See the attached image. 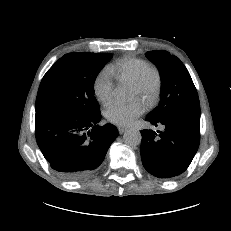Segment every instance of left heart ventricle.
I'll use <instances>...</instances> for the list:
<instances>
[{
	"label": "left heart ventricle",
	"mask_w": 231,
	"mask_h": 231,
	"mask_svg": "<svg viewBox=\"0 0 231 231\" xmlns=\"http://www.w3.org/2000/svg\"><path fill=\"white\" fill-rule=\"evenodd\" d=\"M154 84H155V78L153 76H151L148 80V83H147V90L150 91L154 87ZM133 97L143 98L142 94L137 89H135L134 87H133Z\"/></svg>",
	"instance_id": "left-heart-ventricle-1"
}]
</instances>
